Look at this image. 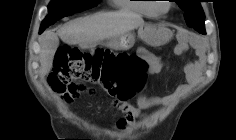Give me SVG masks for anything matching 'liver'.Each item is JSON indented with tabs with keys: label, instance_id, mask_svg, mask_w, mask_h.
<instances>
[{
	"label": "liver",
	"instance_id": "1",
	"mask_svg": "<svg viewBox=\"0 0 236 140\" xmlns=\"http://www.w3.org/2000/svg\"><path fill=\"white\" fill-rule=\"evenodd\" d=\"M144 21L140 15L129 12L96 13L66 23L58 30L45 31L39 38L40 43V75L48 74L53 66L59 38L68 44H78L85 48L104 39L119 37L137 27Z\"/></svg>",
	"mask_w": 236,
	"mask_h": 140
}]
</instances>
